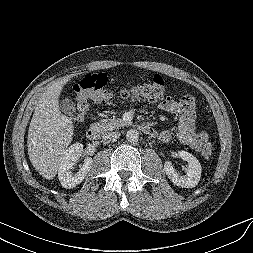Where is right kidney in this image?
Returning <instances> with one entry per match:
<instances>
[{
    "label": "right kidney",
    "mask_w": 253,
    "mask_h": 253,
    "mask_svg": "<svg viewBox=\"0 0 253 253\" xmlns=\"http://www.w3.org/2000/svg\"><path fill=\"white\" fill-rule=\"evenodd\" d=\"M83 145L81 143H75L71 145L64 153L58 168V178L61 185L66 189H72L80 184L93 164L91 157H85L84 164L80 170L73 174L71 169L76 165L77 161L82 155Z\"/></svg>",
    "instance_id": "obj_1"
}]
</instances>
